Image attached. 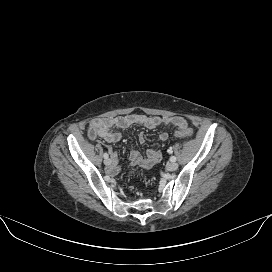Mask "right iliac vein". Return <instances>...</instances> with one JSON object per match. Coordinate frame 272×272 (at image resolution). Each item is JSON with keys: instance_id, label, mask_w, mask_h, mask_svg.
Masks as SVG:
<instances>
[{"instance_id": "63e3f726", "label": "right iliac vein", "mask_w": 272, "mask_h": 272, "mask_svg": "<svg viewBox=\"0 0 272 272\" xmlns=\"http://www.w3.org/2000/svg\"><path fill=\"white\" fill-rule=\"evenodd\" d=\"M104 163H105V165H110L111 160L107 158V159L104 160Z\"/></svg>"}]
</instances>
